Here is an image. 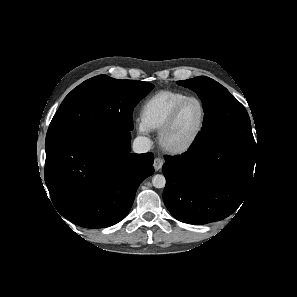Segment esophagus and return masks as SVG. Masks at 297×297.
Wrapping results in <instances>:
<instances>
[{"label":"esophagus","mask_w":297,"mask_h":297,"mask_svg":"<svg viewBox=\"0 0 297 297\" xmlns=\"http://www.w3.org/2000/svg\"><path fill=\"white\" fill-rule=\"evenodd\" d=\"M164 161L161 158H155L153 162L154 169L156 171L160 170L163 166Z\"/></svg>","instance_id":"esophagus-1"}]
</instances>
